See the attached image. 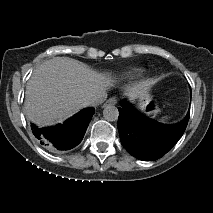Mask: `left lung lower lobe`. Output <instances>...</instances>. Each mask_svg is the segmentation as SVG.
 Wrapping results in <instances>:
<instances>
[{
    "label": "left lung lower lobe",
    "mask_w": 213,
    "mask_h": 213,
    "mask_svg": "<svg viewBox=\"0 0 213 213\" xmlns=\"http://www.w3.org/2000/svg\"><path fill=\"white\" fill-rule=\"evenodd\" d=\"M119 110L118 130L122 145L134 157L151 161L166 154L183 135L190 116L175 125H162L147 118L123 100Z\"/></svg>",
    "instance_id": "left-lung-lower-lobe-1"
}]
</instances>
